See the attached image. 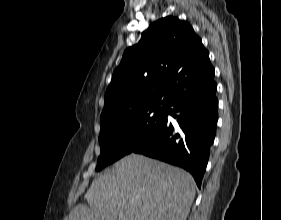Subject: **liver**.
I'll return each instance as SVG.
<instances>
[{
	"instance_id": "obj_1",
	"label": "liver",
	"mask_w": 281,
	"mask_h": 220,
	"mask_svg": "<svg viewBox=\"0 0 281 220\" xmlns=\"http://www.w3.org/2000/svg\"><path fill=\"white\" fill-rule=\"evenodd\" d=\"M195 197L183 169L130 154L97 177L69 220H186Z\"/></svg>"
}]
</instances>
